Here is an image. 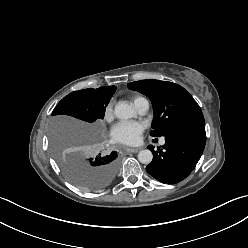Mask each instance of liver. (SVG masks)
<instances>
[{"mask_svg":"<svg viewBox=\"0 0 248 248\" xmlns=\"http://www.w3.org/2000/svg\"><path fill=\"white\" fill-rule=\"evenodd\" d=\"M54 125L62 134L78 133L80 135L94 136V128L79 121L58 118Z\"/></svg>","mask_w":248,"mask_h":248,"instance_id":"1","label":"liver"}]
</instances>
